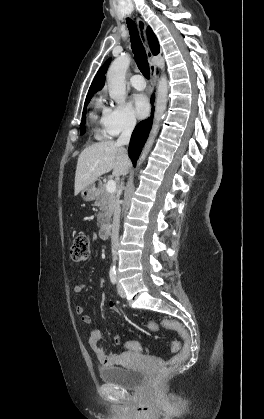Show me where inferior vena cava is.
Masks as SVG:
<instances>
[{"label": "inferior vena cava", "instance_id": "inferior-vena-cava-1", "mask_svg": "<svg viewBox=\"0 0 264 419\" xmlns=\"http://www.w3.org/2000/svg\"><path fill=\"white\" fill-rule=\"evenodd\" d=\"M135 125H136L135 118H129L126 121L123 131L116 142L118 146L123 147L129 144L130 137H131V134L133 132ZM124 150L126 149L124 148ZM120 213H121V208H120L119 203H117L114 208V218H113L112 235H111L114 259L116 257V249L118 247V241H119Z\"/></svg>", "mask_w": 264, "mask_h": 419}]
</instances>
